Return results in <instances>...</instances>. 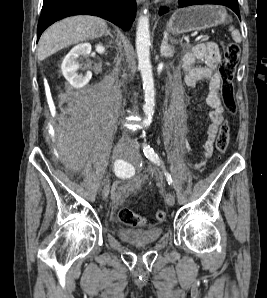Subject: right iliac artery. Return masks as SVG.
Returning a JSON list of instances; mask_svg holds the SVG:
<instances>
[{"label":"right iliac artery","mask_w":267,"mask_h":298,"mask_svg":"<svg viewBox=\"0 0 267 298\" xmlns=\"http://www.w3.org/2000/svg\"><path fill=\"white\" fill-rule=\"evenodd\" d=\"M123 164H124V161H123V160H117V161L115 162V166H116V167H122Z\"/></svg>","instance_id":"obj_1"}]
</instances>
